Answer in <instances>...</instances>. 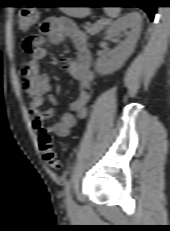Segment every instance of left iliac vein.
I'll return each instance as SVG.
<instances>
[{
  "label": "left iliac vein",
  "instance_id": "left-iliac-vein-1",
  "mask_svg": "<svg viewBox=\"0 0 170 231\" xmlns=\"http://www.w3.org/2000/svg\"><path fill=\"white\" fill-rule=\"evenodd\" d=\"M69 205H70L71 207H74V206H75V203H74L73 201H69Z\"/></svg>",
  "mask_w": 170,
  "mask_h": 231
}]
</instances>
